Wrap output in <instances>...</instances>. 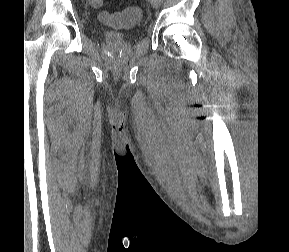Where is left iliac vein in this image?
<instances>
[{
  "mask_svg": "<svg viewBox=\"0 0 289 252\" xmlns=\"http://www.w3.org/2000/svg\"><path fill=\"white\" fill-rule=\"evenodd\" d=\"M149 1L154 8H158L161 3V0H149Z\"/></svg>",
  "mask_w": 289,
  "mask_h": 252,
  "instance_id": "left-iliac-vein-1",
  "label": "left iliac vein"
}]
</instances>
